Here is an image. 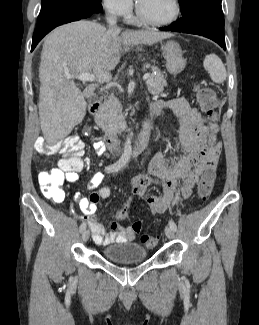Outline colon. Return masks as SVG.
<instances>
[{"instance_id": "obj_1", "label": "colon", "mask_w": 259, "mask_h": 325, "mask_svg": "<svg viewBox=\"0 0 259 325\" xmlns=\"http://www.w3.org/2000/svg\"><path fill=\"white\" fill-rule=\"evenodd\" d=\"M193 92L196 100L208 116L210 125L214 129L217 124V115L219 102L215 92L209 87L201 84H196L193 87ZM213 139V136L211 137ZM35 148L39 153L50 155L58 152L64 153L62 158L63 163L59 165V168H54L49 171H43L38 176V182L42 194L55 202H61L64 194L62 191V185L65 178V170L67 168H73L76 165L77 160L81 157L83 151V144L81 140L75 136L70 135L65 139L48 144L42 138H38L35 142ZM216 178L215 169H209L202 173L201 179L198 184V196L201 200H206L211 194L214 181ZM130 202H125L119 212L117 213V219H125L130 211ZM142 221L136 220L132 223V230L135 233L142 231ZM141 243L147 248H153L157 239L149 234L141 235Z\"/></svg>"}]
</instances>
